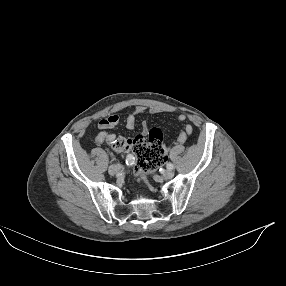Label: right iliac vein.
<instances>
[{
  "mask_svg": "<svg viewBox=\"0 0 286 286\" xmlns=\"http://www.w3.org/2000/svg\"><path fill=\"white\" fill-rule=\"evenodd\" d=\"M121 165H119V164H115V165H111L110 167H109V169H108V172H109V174L110 175H116L117 173H119L120 172V170H121Z\"/></svg>",
  "mask_w": 286,
  "mask_h": 286,
  "instance_id": "1",
  "label": "right iliac vein"
}]
</instances>
